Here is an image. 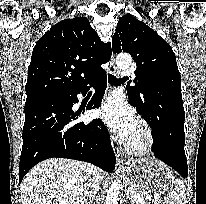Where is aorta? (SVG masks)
I'll use <instances>...</instances> for the list:
<instances>
[{"label": "aorta", "mask_w": 206, "mask_h": 204, "mask_svg": "<svg viewBox=\"0 0 206 204\" xmlns=\"http://www.w3.org/2000/svg\"><path fill=\"white\" fill-rule=\"evenodd\" d=\"M132 63V58L128 54H119L116 57V64L118 67H127ZM121 182L119 180L113 181L108 189L105 204H118V197L121 190Z\"/></svg>", "instance_id": "1"}]
</instances>
